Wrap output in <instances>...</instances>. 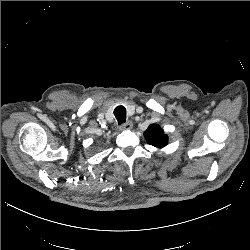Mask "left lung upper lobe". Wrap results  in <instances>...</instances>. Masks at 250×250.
Wrapping results in <instances>:
<instances>
[{
    "label": "left lung upper lobe",
    "instance_id": "1",
    "mask_svg": "<svg viewBox=\"0 0 250 250\" xmlns=\"http://www.w3.org/2000/svg\"><path fill=\"white\" fill-rule=\"evenodd\" d=\"M144 137L148 144L157 148H162L168 144V136L164 134L163 129L157 124H151L144 132Z\"/></svg>",
    "mask_w": 250,
    "mask_h": 250
}]
</instances>
